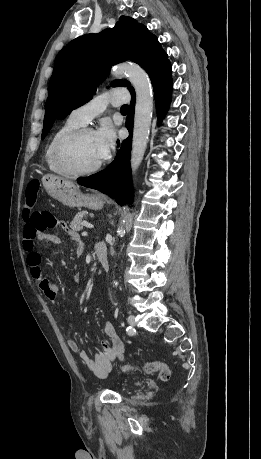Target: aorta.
<instances>
[{
    "mask_svg": "<svg viewBox=\"0 0 261 459\" xmlns=\"http://www.w3.org/2000/svg\"><path fill=\"white\" fill-rule=\"evenodd\" d=\"M112 76L125 75L133 85L136 93V105L133 126L131 169L134 175L138 170L149 139L151 120L153 114V92L150 79L146 72L136 64H119L111 71ZM125 232L123 226H119L117 233ZM117 286V283H115Z\"/></svg>",
    "mask_w": 261,
    "mask_h": 459,
    "instance_id": "1",
    "label": "aorta"
}]
</instances>
